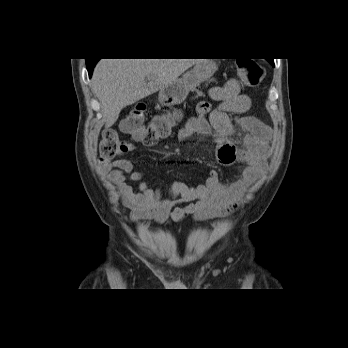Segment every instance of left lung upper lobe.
I'll return each instance as SVG.
<instances>
[{
	"mask_svg": "<svg viewBox=\"0 0 348 348\" xmlns=\"http://www.w3.org/2000/svg\"><path fill=\"white\" fill-rule=\"evenodd\" d=\"M273 64V60H269Z\"/></svg>",
	"mask_w": 348,
	"mask_h": 348,
	"instance_id": "5c2ea615",
	"label": "left lung upper lobe"
}]
</instances>
